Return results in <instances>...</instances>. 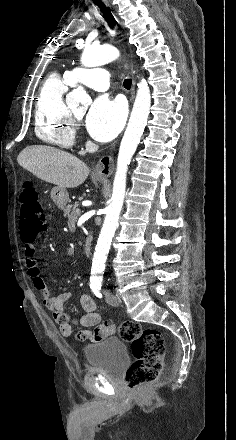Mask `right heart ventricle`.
Masks as SVG:
<instances>
[{
	"mask_svg": "<svg viewBox=\"0 0 236 440\" xmlns=\"http://www.w3.org/2000/svg\"><path fill=\"white\" fill-rule=\"evenodd\" d=\"M70 83L59 74L44 81L35 107V132L45 143L61 149L70 148L75 140L71 113L64 101Z\"/></svg>",
	"mask_w": 236,
	"mask_h": 440,
	"instance_id": "1",
	"label": "right heart ventricle"
}]
</instances>
